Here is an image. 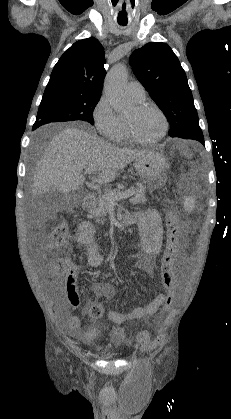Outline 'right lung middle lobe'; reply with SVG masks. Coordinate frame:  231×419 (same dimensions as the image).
<instances>
[{
	"label": "right lung middle lobe",
	"mask_w": 231,
	"mask_h": 419,
	"mask_svg": "<svg viewBox=\"0 0 231 419\" xmlns=\"http://www.w3.org/2000/svg\"><path fill=\"white\" fill-rule=\"evenodd\" d=\"M100 96L83 94L68 88H46L33 128L50 122L74 120L87 121L93 125L92 113Z\"/></svg>",
	"instance_id": "obj_1"
}]
</instances>
